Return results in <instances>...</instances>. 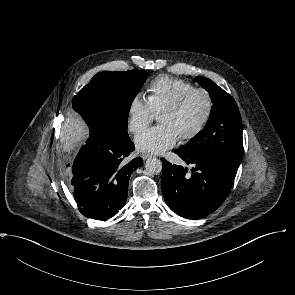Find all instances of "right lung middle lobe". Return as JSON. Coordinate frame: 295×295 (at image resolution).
<instances>
[{"label": "right lung middle lobe", "mask_w": 295, "mask_h": 295, "mask_svg": "<svg viewBox=\"0 0 295 295\" xmlns=\"http://www.w3.org/2000/svg\"><path fill=\"white\" fill-rule=\"evenodd\" d=\"M146 78L147 73L140 70L98 73L74 97L72 108L89 128L125 139L131 104Z\"/></svg>", "instance_id": "dd1d6c3e"}]
</instances>
